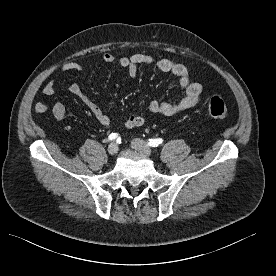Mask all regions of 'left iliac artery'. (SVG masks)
<instances>
[{
  "mask_svg": "<svg viewBox=\"0 0 276 276\" xmlns=\"http://www.w3.org/2000/svg\"><path fill=\"white\" fill-rule=\"evenodd\" d=\"M163 143V139L157 138V139H149L148 145L151 147H157L158 145Z\"/></svg>",
  "mask_w": 276,
  "mask_h": 276,
  "instance_id": "obj_1",
  "label": "left iliac artery"
}]
</instances>
